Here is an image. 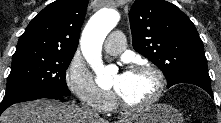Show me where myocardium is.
<instances>
[{
  "label": "myocardium",
  "instance_id": "obj_1",
  "mask_svg": "<svg viewBox=\"0 0 221 123\" xmlns=\"http://www.w3.org/2000/svg\"><path fill=\"white\" fill-rule=\"evenodd\" d=\"M130 71H146L151 73L156 80V91L153 96L142 103L128 102L117 90L114 89V95L120 106L127 111H140L155 105L162 98L165 90V77L160 69L150 63H141L133 66Z\"/></svg>",
  "mask_w": 221,
  "mask_h": 123
}]
</instances>
